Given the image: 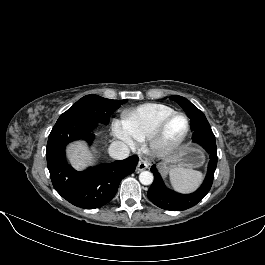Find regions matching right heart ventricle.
<instances>
[{
	"label": "right heart ventricle",
	"instance_id": "e07e8e85",
	"mask_svg": "<svg viewBox=\"0 0 265 265\" xmlns=\"http://www.w3.org/2000/svg\"><path fill=\"white\" fill-rule=\"evenodd\" d=\"M174 111L164 104L148 103L122 114V120L136 140H144L153 131L158 122Z\"/></svg>",
	"mask_w": 265,
	"mask_h": 265
}]
</instances>
